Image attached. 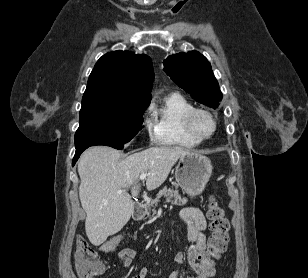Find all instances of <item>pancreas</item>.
Here are the masks:
<instances>
[{
  "label": "pancreas",
  "instance_id": "cf45deb5",
  "mask_svg": "<svg viewBox=\"0 0 308 278\" xmlns=\"http://www.w3.org/2000/svg\"><path fill=\"white\" fill-rule=\"evenodd\" d=\"M164 196L166 198V202H172L175 205L181 204L185 202V199L181 198L179 191L177 189L164 187L157 194L156 199L151 200L145 204V207L150 210L153 207L152 211L155 213V207L158 205L159 199Z\"/></svg>",
  "mask_w": 308,
  "mask_h": 278
}]
</instances>
